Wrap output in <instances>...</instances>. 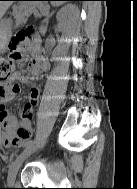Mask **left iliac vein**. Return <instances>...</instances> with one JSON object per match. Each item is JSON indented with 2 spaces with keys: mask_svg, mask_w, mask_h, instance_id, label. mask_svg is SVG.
I'll return each mask as SVG.
<instances>
[{
  "mask_svg": "<svg viewBox=\"0 0 137 189\" xmlns=\"http://www.w3.org/2000/svg\"><path fill=\"white\" fill-rule=\"evenodd\" d=\"M35 151L34 148H29L26 149L24 152H22L17 158L16 160L11 164L9 171H8V176H7V184L9 186L14 185L15 180H16V176L18 174V171L21 167V165L23 164V162L30 156L33 154V152Z\"/></svg>",
  "mask_w": 137,
  "mask_h": 189,
  "instance_id": "1",
  "label": "left iliac vein"
}]
</instances>
